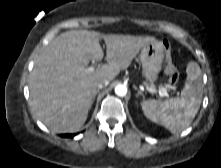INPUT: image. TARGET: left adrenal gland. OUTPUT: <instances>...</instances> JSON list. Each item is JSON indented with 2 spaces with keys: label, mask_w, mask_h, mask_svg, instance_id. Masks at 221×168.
<instances>
[{
  "label": "left adrenal gland",
  "mask_w": 221,
  "mask_h": 168,
  "mask_svg": "<svg viewBox=\"0 0 221 168\" xmlns=\"http://www.w3.org/2000/svg\"><path fill=\"white\" fill-rule=\"evenodd\" d=\"M134 88L137 90L136 97H138L139 95L143 96L142 92L137 87Z\"/></svg>",
  "instance_id": "obj_1"
}]
</instances>
